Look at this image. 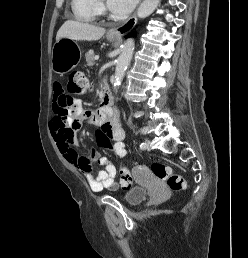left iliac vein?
Here are the masks:
<instances>
[{"label":"left iliac vein","mask_w":248,"mask_h":258,"mask_svg":"<svg viewBox=\"0 0 248 258\" xmlns=\"http://www.w3.org/2000/svg\"><path fill=\"white\" fill-rule=\"evenodd\" d=\"M145 148L144 149H146V150H150V148H151V144H150V141L149 140H145Z\"/></svg>","instance_id":"4c4485c4"}]
</instances>
